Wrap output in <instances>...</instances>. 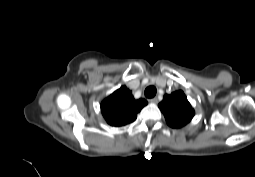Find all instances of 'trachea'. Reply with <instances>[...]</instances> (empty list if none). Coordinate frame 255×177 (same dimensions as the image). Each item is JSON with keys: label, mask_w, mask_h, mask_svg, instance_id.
Masks as SVG:
<instances>
[{"label": "trachea", "mask_w": 255, "mask_h": 177, "mask_svg": "<svg viewBox=\"0 0 255 177\" xmlns=\"http://www.w3.org/2000/svg\"><path fill=\"white\" fill-rule=\"evenodd\" d=\"M156 88L154 86H149L145 89V96L147 98H153L156 95Z\"/></svg>", "instance_id": "1"}]
</instances>
